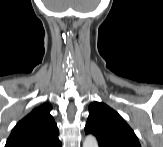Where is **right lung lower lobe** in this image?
Returning a JSON list of instances; mask_svg holds the SVG:
<instances>
[{
    "instance_id": "right-lung-lower-lobe-1",
    "label": "right lung lower lobe",
    "mask_w": 163,
    "mask_h": 147,
    "mask_svg": "<svg viewBox=\"0 0 163 147\" xmlns=\"http://www.w3.org/2000/svg\"><path fill=\"white\" fill-rule=\"evenodd\" d=\"M46 147H61V142L58 141L57 143H55L53 145L46 146Z\"/></svg>"
}]
</instances>
